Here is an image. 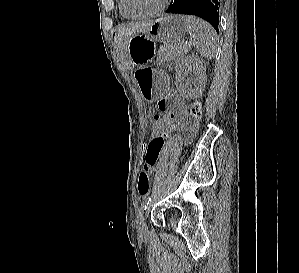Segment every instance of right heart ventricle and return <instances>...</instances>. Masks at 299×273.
Listing matches in <instances>:
<instances>
[{"label":"right heart ventricle","mask_w":299,"mask_h":273,"mask_svg":"<svg viewBox=\"0 0 299 273\" xmlns=\"http://www.w3.org/2000/svg\"><path fill=\"white\" fill-rule=\"evenodd\" d=\"M119 11H120V14H121V16H122L123 18L130 19V17H129L128 15H126V14L123 12V10H122V8H121L120 1H119Z\"/></svg>","instance_id":"1"}]
</instances>
